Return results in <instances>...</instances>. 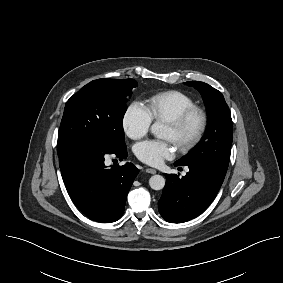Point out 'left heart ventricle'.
Here are the masks:
<instances>
[{
    "instance_id": "left-heart-ventricle-1",
    "label": "left heart ventricle",
    "mask_w": 283,
    "mask_h": 283,
    "mask_svg": "<svg viewBox=\"0 0 283 283\" xmlns=\"http://www.w3.org/2000/svg\"><path fill=\"white\" fill-rule=\"evenodd\" d=\"M195 125V122H192L186 129L185 135L192 133L195 128ZM175 136V132L168 125H165L162 132V137L165 139L174 140Z\"/></svg>"
}]
</instances>
